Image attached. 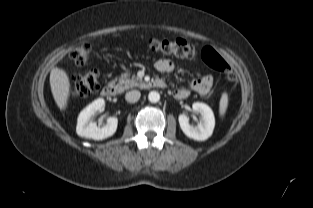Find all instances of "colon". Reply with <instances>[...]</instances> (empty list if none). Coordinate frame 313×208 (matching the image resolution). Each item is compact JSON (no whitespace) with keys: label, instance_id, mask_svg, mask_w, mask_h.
I'll use <instances>...</instances> for the list:
<instances>
[{"label":"colon","instance_id":"1","mask_svg":"<svg viewBox=\"0 0 313 208\" xmlns=\"http://www.w3.org/2000/svg\"><path fill=\"white\" fill-rule=\"evenodd\" d=\"M148 46L153 52L178 58L192 59L197 54L195 47L182 39H151ZM90 51L91 46L88 43H81L72 50L70 57L77 65H84L89 59ZM200 54L207 65L224 74L228 81L235 79L231 66L213 48L204 47ZM98 80L99 73L94 69L77 74L72 79L71 94L76 97H88L96 93L99 89Z\"/></svg>","mask_w":313,"mask_h":208}]
</instances>
